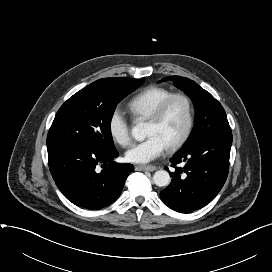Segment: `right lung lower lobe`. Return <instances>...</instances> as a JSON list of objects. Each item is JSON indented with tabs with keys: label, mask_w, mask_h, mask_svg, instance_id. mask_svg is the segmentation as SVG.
Masks as SVG:
<instances>
[{
	"label": "right lung lower lobe",
	"mask_w": 272,
	"mask_h": 272,
	"mask_svg": "<svg viewBox=\"0 0 272 272\" xmlns=\"http://www.w3.org/2000/svg\"><path fill=\"white\" fill-rule=\"evenodd\" d=\"M116 149L102 151L91 147H69L48 155L49 169L62 194L86 209H100L121 194L131 164H118ZM104 168L98 171L97 165Z\"/></svg>",
	"instance_id": "right-lung-lower-lobe-1"
}]
</instances>
